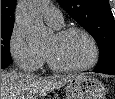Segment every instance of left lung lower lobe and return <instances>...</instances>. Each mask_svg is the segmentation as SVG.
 <instances>
[{"label":"left lung lower lobe","instance_id":"obj_1","mask_svg":"<svg viewBox=\"0 0 115 99\" xmlns=\"http://www.w3.org/2000/svg\"><path fill=\"white\" fill-rule=\"evenodd\" d=\"M94 72L115 75V69H108V70H104V71H98V70L95 69Z\"/></svg>","mask_w":115,"mask_h":99}]
</instances>
